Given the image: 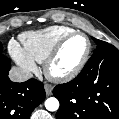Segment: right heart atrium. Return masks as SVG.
Returning a JSON list of instances; mask_svg holds the SVG:
<instances>
[{
	"instance_id": "d8ad5b80",
	"label": "right heart atrium",
	"mask_w": 119,
	"mask_h": 119,
	"mask_svg": "<svg viewBox=\"0 0 119 119\" xmlns=\"http://www.w3.org/2000/svg\"><path fill=\"white\" fill-rule=\"evenodd\" d=\"M9 51L24 72L32 73L37 69L35 61L17 41L11 40L9 42Z\"/></svg>"
}]
</instances>
